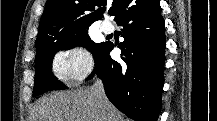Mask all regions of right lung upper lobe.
<instances>
[{
    "instance_id": "1",
    "label": "right lung upper lobe",
    "mask_w": 217,
    "mask_h": 121,
    "mask_svg": "<svg viewBox=\"0 0 217 121\" xmlns=\"http://www.w3.org/2000/svg\"><path fill=\"white\" fill-rule=\"evenodd\" d=\"M135 0H113L112 15L116 20ZM107 0H47L41 18L36 45L62 39L88 28L103 17Z\"/></svg>"
}]
</instances>
